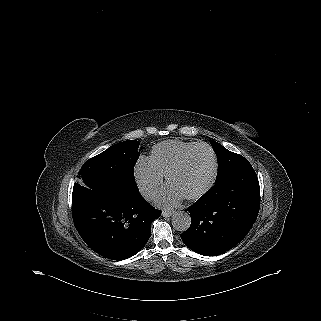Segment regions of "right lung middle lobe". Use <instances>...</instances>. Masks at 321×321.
Returning a JSON list of instances; mask_svg holds the SVG:
<instances>
[{"label": "right lung middle lobe", "instance_id": "dd1d6c3e", "mask_svg": "<svg viewBox=\"0 0 321 321\" xmlns=\"http://www.w3.org/2000/svg\"><path fill=\"white\" fill-rule=\"evenodd\" d=\"M138 145L135 140L120 142L87 160L78 173L72 201L102 195L126 199L139 194L134 179Z\"/></svg>", "mask_w": 321, "mask_h": 321}]
</instances>
